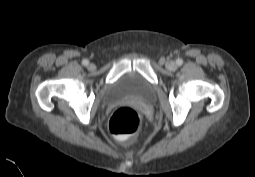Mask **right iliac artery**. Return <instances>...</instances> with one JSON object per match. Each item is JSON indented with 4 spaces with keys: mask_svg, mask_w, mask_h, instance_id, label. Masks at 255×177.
Segmentation results:
<instances>
[{
    "mask_svg": "<svg viewBox=\"0 0 255 177\" xmlns=\"http://www.w3.org/2000/svg\"><path fill=\"white\" fill-rule=\"evenodd\" d=\"M82 64H83L84 66H87V65L89 64V62H88L87 59H84V60L82 61Z\"/></svg>",
    "mask_w": 255,
    "mask_h": 177,
    "instance_id": "right-iliac-artery-1",
    "label": "right iliac artery"
}]
</instances>
